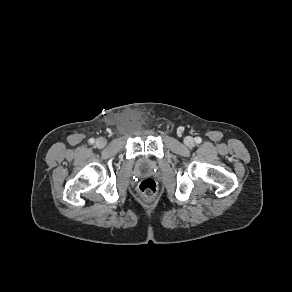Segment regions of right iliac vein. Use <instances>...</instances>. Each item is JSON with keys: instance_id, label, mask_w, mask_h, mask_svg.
Here are the masks:
<instances>
[{"instance_id": "obj_1", "label": "right iliac vein", "mask_w": 292, "mask_h": 292, "mask_svg": "<svg viewBox=\"0 0 292 292\" xmlns=\"http://www.w3.org/2000/svg\"><path fill=\"white\" fill-rule=\"evenodd\" d=\"M106 143H107L106 140H105L104 138H102V137L98 138V139L96 140V142H95V144H96V146H97L98 148H103V147H105Z\"/></svg>"}]
</instances>
